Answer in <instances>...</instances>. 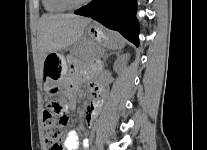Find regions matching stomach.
I'll use <instances>...</instances> for the list:
<instances>
[{
	"label": "stomach",
	"instance_id": "obj_1",
	"mask_svg": "<svg viewBox=\"0 0 207 150\" xmlns=\"http://www.w3.org/2000/svg\"><path fill=\"white\" fill-rule=\"evenodd\" d=\"M85 43L84 46L88 48L101 46L110 49H119L123 46L124 42L118 35H108L102 28L93 23L90 24L85 30ZM98 55H96L97 57ZM67 72V59L62 53L53 52L46 56L43 63V77L44 89L52 96H63L66 94L70 87L69 84L63 81Z\"/></svg>",
	"mask_w": 207,
	"mask_h": 150
}]
</instances>
